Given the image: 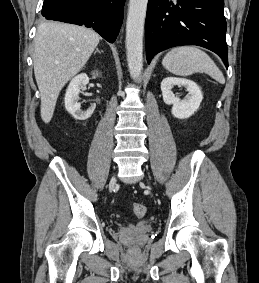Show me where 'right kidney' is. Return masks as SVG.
I'll list each match as a JSON object with an SVG mask.
<instances>
[{"label":"right kidney","mask_w":259,"mask_h":283,"mask_svg":"<svg viewBox=\"0 0 259 283\" xmlns=\"http://www.w3.org/2000/svg\"><path fill=\"white\" fill-rule=\"evenodd\" d=\"M94 76H98V72H93ZM89 83V77L85 73H81L74 77L65 94V108L76 120H87L91 117L96 107L93 104L87 110H81V105L78 103L79 93L84 90L86 85Z\"/></svg>","instance_id":"obj_1"}]
</instances>
